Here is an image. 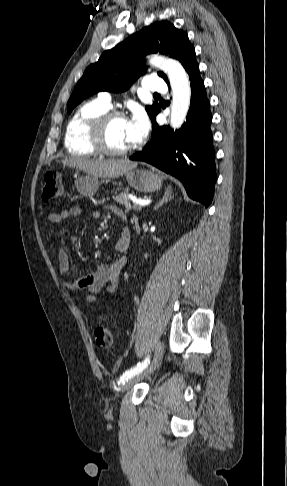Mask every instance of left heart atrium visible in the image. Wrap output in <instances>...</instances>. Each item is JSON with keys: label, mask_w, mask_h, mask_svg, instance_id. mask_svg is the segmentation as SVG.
<instances>
[{"label": "left heart atrium", "mask_w": 287, "mask_h": 486, "mask_svg": "<svg viewBox=\"0 0 287 486\" xmlns=\"http://www.w3.org/2000/svg\"><path fill=\"white\" fill-rule=\"evenodd\" d=\"M129 130L132 144L139 142L147 130L145 117L142 114H136L129 120Z\"/></svg>", "instance_id": "obj_1"}]
</instances>
